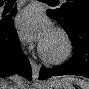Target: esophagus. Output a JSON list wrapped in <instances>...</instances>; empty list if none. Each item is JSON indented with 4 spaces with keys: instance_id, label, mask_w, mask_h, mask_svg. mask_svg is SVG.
<instances>
[{
    "instance_id": "34e87169",
    "label": "esophagus",
    "mask_w": 89,
    "mask_h": 89,
    "mask_svg": "<svg viewBox=\"0 0 89 89\" xmlns=\"http://www.w3.org/2000/svg\"><path fill=\"white\" fill-rule=\"evenodd\" d=\"M30 64L32 67L33 78L37 79L39 74V67L33 60H30Z\"/></svg>"
}]
</instances>
